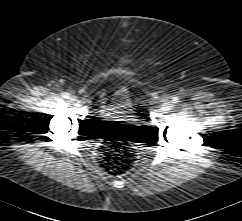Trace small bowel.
Instances as JSON below:
<instances>
[{
  "mask_svg": "<svg viewBox=\"0 0 242 221\" xmlns=\"http://www.w3.org/2000/svg\"><path fill=\"white\" fill-rule=\"evenodd\" d=\"M107 103H108L107 95L104 93L100 94V106H101L102 113H105L106 111H108V107H106Z\"/></svg>",
  "mask_w": 242,
  "mask_h": 221,
  "instance_id": "1",
  "label": "small bowel"
}]
</instances>
